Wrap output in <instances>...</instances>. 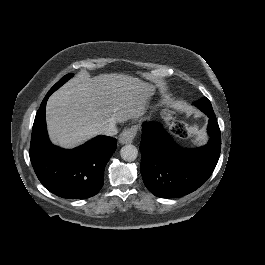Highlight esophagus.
Masks as SVG:
<instances>
[{"label": "esophagus", "mask_w": 265, "mask_h": 265, "mask_svg": "<svg viewBox=\"0 0 265 265\" xmlns=\"http://www.w3.org/2000/svg\"><path fill=\"white\" fill-rule=\"evenodd\" d=\"M137 133V127L132 126L131 128L125 129L119 136V142L121 144L131 143Z\"/></svg>", "instance_id": "34e87169"}]
</instances>
